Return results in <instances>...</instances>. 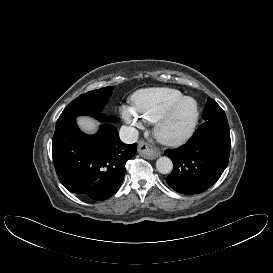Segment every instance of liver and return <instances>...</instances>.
<instances>
[{
  "label": "liver",
  "instance_id": "1",
  "mask_svg": "<svg viewBox=\"0 0 273 273\" xmlns=\"http://www.w3.org/2000/svg\"><path fill=\"white\" fill-rule=\"evenodd\" d=\"M79 127L88 133H94L97 129V123L90 117H79L78 118Z\"/></svg>",
  "mask_w": 273,
  "mask_h": 273
}]
</instances>
